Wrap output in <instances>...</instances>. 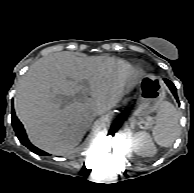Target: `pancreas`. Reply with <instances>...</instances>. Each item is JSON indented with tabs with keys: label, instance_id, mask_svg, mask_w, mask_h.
Returning <instances> with one entry per match:
<instances>
[{
	"label": "pancreas",
	"instance_id": "cf45deb5",
	"mask_svg": "<svg viewBox=\"0 0 194 193\" xmlns=\"http://www.w3.org/2000/svg\"><path fill=\"white\" fill-rule=\"evenodd\" d=\"M147 122H149L150 124H153L154 123V120L153 118L151 120H149V118H146Z\"/></svg>",
	"mask_w": 194,
	"mask_h": 193
}]
</instances>
